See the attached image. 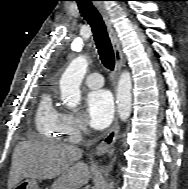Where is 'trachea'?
Returning <instances> with one entry per match:
<instances>
[{"label":"trachea","mask_w":188,"mask_h":189,"mask_svg":"<svg viewBox=\"0 0 188 189\" xmlns=\"http://www.w3.org/2000/svg\"><path fill=\"white\" fill-rule=\"evenodd\" d=\"M80 13L92 28L94 40L102 64L108 69L113 70L115 66L114 51L106 30L104 21L92 4V0H76Z\"/></svg>","instance_id":"3493384b"}]
</instances>
